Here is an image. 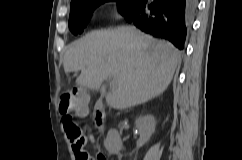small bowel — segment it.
<instances>
[{
    "label": "small bowel",
    "instance_id": "1",
    "mask_svg": "<svg viewBox=\"0 0 242 160\" xmlns=\"http://www.w3.org/2000/svg\"><path fill=\"white\" fill-rule=\"evenodd\" d=\"M76 114H77L78 116H86V115L88 114V109L86 108L84 111H77ZM72 147H73V152H74V154H75L76 160H79V153H80V152H85V151L83 150V145H82V147H81L80 149L76 148V147L74 146V144L72 145Z\"/></svg>",
    "mask_w": 242,
    "mask_h": 160
}]
</instances>
